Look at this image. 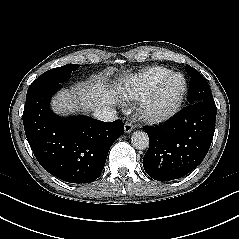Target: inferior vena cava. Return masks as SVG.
<instances>
[{
    "instance_id": "inferior-vena-cava-1",
    "label": "inferior vena cava",
    "mask_w": 239,
    "mask_h": 239,
    "mask_svg": "<svg viewBox=\"0 0 239 239\" xmlns=\"http://www.w3.org/2000/svg\"><path fill=\"white\" fill-rule=\"evenodd\" d=\"M94 117L103 122H112L117 118L116 110L111 107H104L96 109Z\"/></svg>"
}]
</instances>
